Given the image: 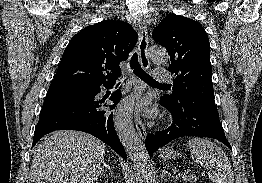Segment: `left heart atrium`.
<instances>
[{
	"mask_svg": "<svg viewBox=\"0 0 262 183\" xmlns=\"http://www.w3.org/2000/svg\"><path fill=\"white\" fill-rule=\"evenodd\" d=\"M139 109L144 110V109H145V104H144V103H141V104L139 105Z\"/></svg>",
	"mask_w": 262,
	"mask_h": 183,
	"instance_id": "left-heart-atrium-1",
	"label": "left heart atrium"
}]
</instances>
